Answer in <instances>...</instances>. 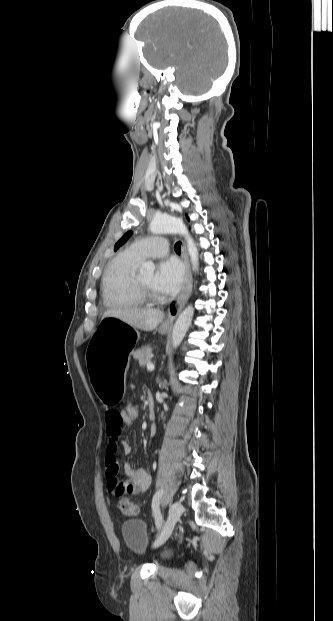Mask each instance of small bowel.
I'll use <instances>...</instances> for the list:
<instances>
[{"instance_id": "small-bowel-1", "label": "small bowel", "mask_w": 333, "mask_h": 621, "mask_svg": "<svg viewBox=\"0 0 333 621\" xmlns=\"http://www.w3.org/2000/svg\"><path fill=\"white\" fill-rule=\"evenodd\" d=\"M129 425L122 410L109 409L106 413V428L109 442L106 449L105 472L107 477V490L113 497L125 495H137L148 490L151 484L150 475L141 468H136L130 463L123 467L126 479L119 477L120 465L115 456L117 446L124 428ZM123 451L126 455L131 453V447L127 442H122Z\"/></svg>"}]
</instances>
